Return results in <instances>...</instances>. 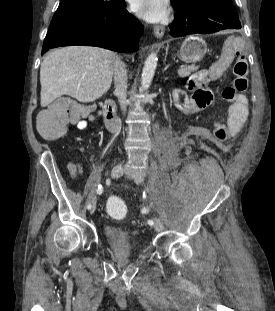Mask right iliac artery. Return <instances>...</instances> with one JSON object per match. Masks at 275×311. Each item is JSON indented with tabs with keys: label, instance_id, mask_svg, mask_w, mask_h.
Listing matches in <instances>:
<instances>
[{
	"label": "right iliac artery",
	"instance_id": "82829eb1",
	"mask_svg": "<svg viewBox=\"0 0 275 311\" xmlns=\"http://www.w3.org/2000/svg\"><path fill=\"white\" fill-rule=\"evenodd\" d=\"M107 183H109V181H107ZM96 192H97V194H99V195L102 194V192H103V187H102L101 184L98 185ZM91 207H92L91 204H88V205H87V208H88V209H91Z\"/></svg>",
	"mask_w": 275,
	"mask_h": 311
}]
</instances>
